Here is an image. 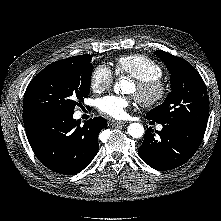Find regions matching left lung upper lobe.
Listing matches in <instances>:
<instances>
[{
    "label": "left lung upper lobe",
    "instance_id": "1",
    "mask_svg": "<svg viewBox=\"0 0 221 221\" xmlns=\"http://www.w3.org/2000/svg\"><path fill=\"white\" fill-rule=\"evenodd\" d=\"M171 74L172 91L163 104L147 113L160 124H190L206 129L209 100L205 83L198 71L185 59L165 51H156Z\"/></svg>",
    "mask_w": 221,
    "mask_h": 221
}]
</instances>
